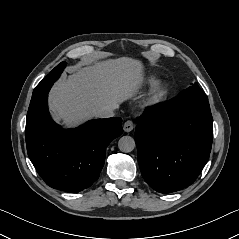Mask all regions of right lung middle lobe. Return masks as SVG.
<instances>
[{
    "label": "right lung middle lobe",
    "mask_w": 239,
    "mask_h": 239,
    "mask_svg": "<svg viewBox=\"0 0 239 239\" xmlns=\"http://www.w3.org/2000/svg\"><path fill=\"white\" fill-rule=\"evenodd\" d=\"M66 66V62H61L59 65H57L34 89L33 92H36L40 90L41 88L45 87L49 83L55 82L61 73L63 72L64 68Z\"/></svg>",
    "instance_id": "obj_1"
}]
</instances>
